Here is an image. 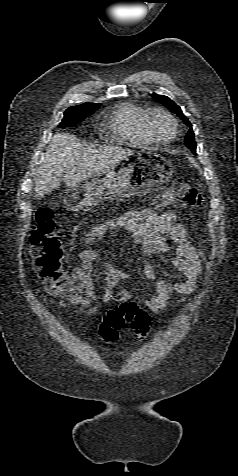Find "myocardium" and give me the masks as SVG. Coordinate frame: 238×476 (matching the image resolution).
Returning a JSON list of instances; mask_svg holds the SVG:
<instances>
[{"mask_svg":"<svg viewBox=\"0 0 238 476\" xmlns=\"http://www.w3.org/2000/svg\"><path fill=\"white\" fill-rule=\"evenodd\" d=\"M156 114H162L172 122L173 133L168 139H160L159 137H157V135L153 131L151 121H152L153 116H155ZM142 125H143V129H144L146 135L148 136V138L153 143H156V144H168V143L172 142L176 138V136L178 134V128H179L178 121L174 117V115L170 111H168L167 109H165L163 107H158V106L147 109V111L145 112V114L143 116Z\"/></svg>","mask_w":238,"mask_h":476,"instance_id":"f54148a6","label":"myocardium"}]
</instances>
